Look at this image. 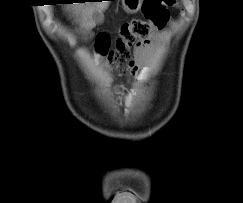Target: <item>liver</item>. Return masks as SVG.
Segmentation results:
<instances>
[{"mask_svg": "<svg viewBox=\"0 0 243 203\" xmlns=\"http://www.w3.org/2000/svg\"><path fill=\"white\" fill-rule=\"evenodd\" d=\"M109 6L108 1H102V2H95L94 4H87L85 5H79L75 6L74 9L77 11V13L80 14L81 16V21H82V27L86 31H90L93 24H92V14L93 12H102L105 9H107Z\"/></svg>", "mask_w": 243, "mask_h": 203, "instance_id": "liver-1", "label": "liver"}]
</instances>
